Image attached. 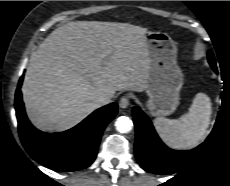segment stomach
<instances>
[{
  "label": "stomach",
  "instance_id": "1",
  "mask_svg": "<svg viewBox=\"0 0 230 186\" xmlns=\"http://www.w3.org/2000/svg\"><path fill=\"white\" fill-rule=\"evenodd\" d=\"M149 71L146 92L147 108L152 115L166 116L179 105L183 74L177 65V49L168 34L148 32Z\"/></svg>",
  "mask_w": 230,
  "mask_h": 186
}]
</instances>
